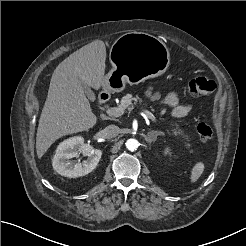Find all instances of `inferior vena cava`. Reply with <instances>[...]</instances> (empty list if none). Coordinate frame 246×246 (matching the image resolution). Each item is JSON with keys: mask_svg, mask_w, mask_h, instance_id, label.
Masks as SVG:
<instances>
[{"mask_svg": "<svg viewBox=\"0 0 246 246\" xmlns=\"http://www.w3.org/2000/svg\"><path fill=\"white\" fill-rule=\"evenodd\" d=\"M120 133V128L116 125H109L101 131L104 138L110 139L116 137Z\"/></svg>", "mask_w": 246, "mask_h": 246, "instance_id": "1", "label": "inferior vena cava"}]
</instances>
